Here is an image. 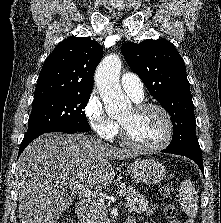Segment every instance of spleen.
I'll return each instance as SVG.
<instances>
[{
    "mask_svg": "<svg viewBox=\"0 0 221 223\" xmlns=\"http://www.w3.org/2000/svg\"><path fill=\"white\" fill-rule=\"evenodd\" d=\"M179 204L181 209L187 214L189 220L186 223H194V218L198 212V196L193 183L184 180L179 188Z\"/></svg>",
    "mask_w": 221,
    "mask_h": 223,
    "instance_id": "3e777b00",
    "label": "spleen"
}]
</instances>
